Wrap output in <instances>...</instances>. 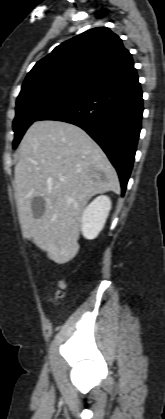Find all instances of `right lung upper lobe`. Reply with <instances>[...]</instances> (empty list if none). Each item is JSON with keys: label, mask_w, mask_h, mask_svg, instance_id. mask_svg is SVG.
<instances>
[{"label": "right lung upper lobe", "mask_w": 165, "mask_h": 419, "mask_svg": "<svg viewBox=\"0 0 165 419\" xmlns=\"http://www.w3.org/2000/svg\"><path fill=\"white\" fill-rule=\"evenodd\" d=\"M133 67L131 54L118 35L106 27L93 28L63 42L38 61L24 80L18 97L55 86L89 93Z\"/></svg>", "instance_id": "cb5924a9"}]
</instances>
